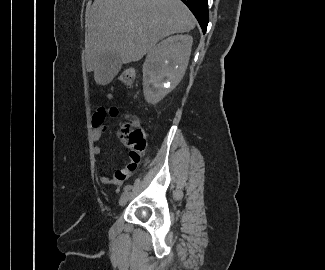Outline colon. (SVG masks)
Listing matches in <instances>:
<instances>
[{"mask_svg":"<svg viewBox=\"0 0 325 270\" xmlns=\"http://www.w3.org/2000/svg\"><path fill=\"white\" fill-rule=\"evenodd\" d=\"M136 75V68L130 66L121 72V74L118 76V81L125 86H131L136 79ZM120 135L130 146V161L127 168L134 170L137 167L141 155L145 149L146 134L141 128L135 126L133 123H125L122 126Z\"/></svg>","mask_w":325,"mask_h":270,"instance_id":"obj_1","label":"colon"}]
</instances>
